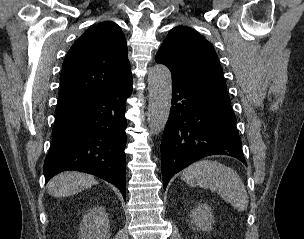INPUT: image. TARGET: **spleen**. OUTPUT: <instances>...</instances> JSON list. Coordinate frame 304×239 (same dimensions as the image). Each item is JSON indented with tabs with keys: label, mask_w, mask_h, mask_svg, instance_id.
Segmentation results:
<instances>
[{
	"label": "spleen",
	"mask_w": 304,
	"mask_h": 239,
	"mask_svg": "<svg viewBox=\"0 0 304 239\" xmlns=\"http://www.w3.org/2000/svg\"><path fill=\"white\" fill-rule=\"evenodd\" d=\"M181 178L190 186H200L217 192L240 212L247 209L248 195L244 183L230 167L217 161L200 160L187 167Z\"/></svg>",
	"instance_id": "1"
}]
</instances>
